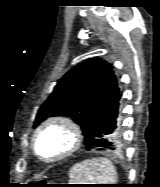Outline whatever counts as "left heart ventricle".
I'll return each mask as SVG.
<instances>
[{
	"instance_id": "obj_1",
	"label": "left heart ventricle",
	"mask_w": 160,
	"mask_h": 187,
	"mask_svg": "<svg viewBox=\"0 0 160 187\" xmlns=\"http://www.w3.org/2000/svg\"><path fill=\"white\" fill-rule=\"evenodd\" d=\"M71 138L65 129L61 127H50L46 129L38 142V152L51 158L66 150L70 145Z\"/></svg>"
}]
</instances>
